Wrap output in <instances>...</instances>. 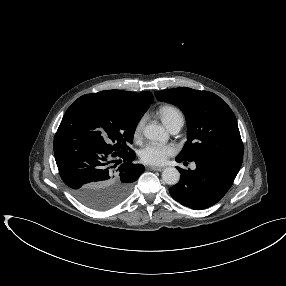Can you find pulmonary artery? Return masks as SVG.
I'll return each mask as SVG.
<instances>
[{
	"label": "pulmonary artery",
	"instance_id": "pulmonary-artery-1",
	"mask_svg": "<svg viewBox=\"0 0 286 286\" xmlns=\"http://www.w3.org/2000/svg\"><path fill=\"white\" fill-rule=\"evenodd\" d=\"M184 120L183 118H179L177 120H175L174 122H172L169 126L168 129L171 133H177L183 126ZM196 167V165L193 163L191 165V168L194 169Z\"/></svg>",
	"mask_w": 286,
	"mask_h": 286
}]
</instances>
